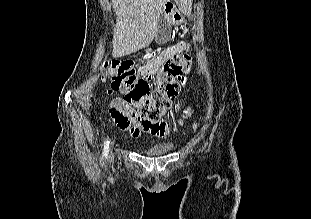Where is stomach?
<instances>
[{
	"mask_svg": "<svg viewBox=\"0 0 311 219\" xmlns=\"http://www.w3.org/2000/svg\"><path fill=\"white\" fill-rule=\"evenodd\" d=\"M170 24L179 25L183 22V16L180 13L174 12L170 14H163Z\"/></svg>",
	"mask_w": 311,
	"mask_h": 219,
	"instance_id": "stomach-1",
	"label": "stomach"
}]
</instances>
